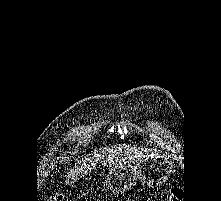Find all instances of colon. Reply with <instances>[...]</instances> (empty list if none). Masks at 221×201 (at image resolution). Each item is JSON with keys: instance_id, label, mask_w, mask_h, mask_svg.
I'll return each instance as SVG.
<instances>
[{"instance_id": "obj_1", "label": "colon", "mask_w": 221, "mask_h": 201, "mask_svg": "<svg viewBox=\"0 0 221 201\" xmlns=\"http://www.w3.org/2000/svg\"><path fill=\"white\" fill-rule=\"evenodd\" d=\"M44 201H67L61 194L47 197ZM167 201H185V193L182 188H173Z\"/></svg>"}]
</instances>
